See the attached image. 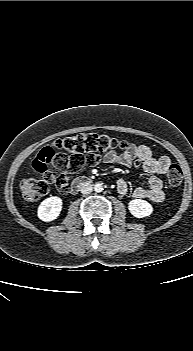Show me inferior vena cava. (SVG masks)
I'll return each instance as SVG.
<instances>
[{
    "instance_id": "1",
    "label": "inferior vena cava",
    "mask_w": 193,
    "mask_h": 351,
    "mask_svg": "<svg viewBox=\"0 0 193 351\" xmlns=\"http://www.w3.org/2000/svg\"><path fill=\"white\" fill-rule=\"evenodd\" d=\"M93 190L92 184L86 182L84 184L81 185L80 191L82 194L86 195V194H90Z\"/></svg>"
}]
</instances>
